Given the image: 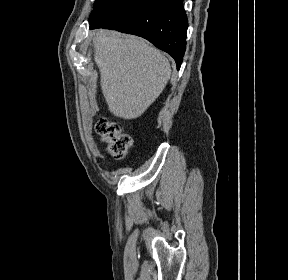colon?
Segmentation results:
<instances>
[{
  "mask_svg": "<svg viewBox=\"0 0 288 280\" xmlns=\"http://www.w3.org/2000/svg\"><path fill=\"white\" fill-rule=\"evenodd\" d=\"M95 128L100 140L107 145V152L113 159L120 160L126 156L133 145L130 135L123 133L117 124L107 120L98 121Z\"/></svg>",
  "mask_w": 288,
  "mask_h": 280,
  "instance_id": "obj_1",
  "label": "colon"
}]
</instances>
